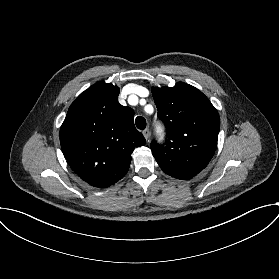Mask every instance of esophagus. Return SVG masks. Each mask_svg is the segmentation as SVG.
Instances as JSON below:
<instances>
[{
	"label": "esophagus",
	"instance_id": "34e87169",
	"mask_svg": "<svg viewBox=\"0 0 279 279\" xmlns=\"http://www.w3.org/2000/svg\"><path fill=\"white\" fill-rule=\"evenodd\" d=\"M142 134L144 135V138H145L146 140H148V138H149V136H150V131H149V129H148V128L145 129V130L142 132Z\"/></svg>",
	"mask_w": 279,
	"mask_h": 279
}]
</instances>
